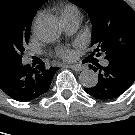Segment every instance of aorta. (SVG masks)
Listing matches in <instances>:
<instances>
[{"instance_id": "aorta-1", "label": "aorta", "mask_w": 135, "mask_h": 135, "mask_svg": "<svg viewBox=\"0 0 135 135\" xmlns=\"http://www.w3.org/2000/svg\"><path fill=\"white\" fill-rule=\"evenodd\" d=\"M36 35L44 42L57 40L62 33L60 21L53 16H45L36 21ZM80 83L85 87H93L98 82L97 74L91 69H84L79 75Z\"/></svg>"}]
</instances>
